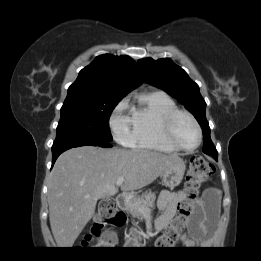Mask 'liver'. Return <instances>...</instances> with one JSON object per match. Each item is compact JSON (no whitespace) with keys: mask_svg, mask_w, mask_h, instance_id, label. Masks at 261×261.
Instances as JSON below:
<instances>
[{"mask_svg":"<svg viewBox=\"0 0 261 261\" xmlns=\"http://www.w3.org/2000/svg\"><path fill=\"white\" fill-rule=\"evenodd\" d=\"M150 150L82 146L61 154L48 184L49 220L60 248H70L93 217L98 199L151 184L178 159Z\"/></svg>","mask_w":261,"mask_h":261,"instance_id":"6515ba94","label":"liver"}]
</instances>
